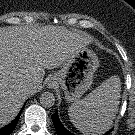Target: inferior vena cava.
Instances as JSON below:
<instances>
[{"mask_svg":"<svg viewBox=\"0 0 135 135\" xmlns=\"http://www.w3.org/2000/svg\"><path fill=\"white\" fill-rule=\"evenodd\" d=\"M32 87H33V84L32 83H30V84H28V86H27V90H30V89H32Z\"/></svg>","mask_w":135,"mask_h":135,"instance_id":"inferior-vena-cava-1","label":"inferior vena cava"}]
</instances>
